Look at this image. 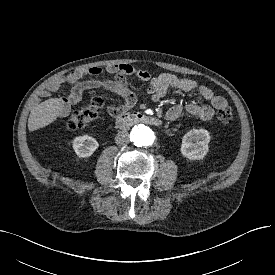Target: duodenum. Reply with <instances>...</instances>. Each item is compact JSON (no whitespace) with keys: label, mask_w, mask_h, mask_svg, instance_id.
Returning a JSON list of instances; mask_svg holds the SVG:
<instances>
[{"label":"duodenum","mask_w":275,"mask_h":275,"mask_svg":"<svg viewBox=\"0 0 275 275\" xmlns=\"http://www.w3.org/2000/svg\"><path fill=\"white\" fill-rule=\"evenodd\" d=\"M146 123L152 126H160L162 121L156 116H150L142 113L121 114L116 119V126L121 130H126L135 123Z\"/></svg>","instance_id":"obj_1"}]
</instances>
